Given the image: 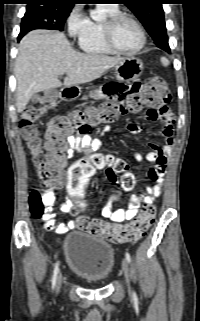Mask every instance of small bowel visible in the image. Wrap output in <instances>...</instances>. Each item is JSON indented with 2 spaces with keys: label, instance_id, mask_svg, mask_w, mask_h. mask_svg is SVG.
Instances as JSON below:
<instances>
[{
  "label": "small bowel",
  "instance_id": "1",
  "mask_svg": "<svg viewBox=\"0 0 200 321\" xmlns=\"http://www.w3.org/2000/svg\"><path fill=\"white\" fill-rule=\"evenodd\" d=\"M102 90L97 93L94 98L108 97L104 100L105 104H112L116 101H121V97L133 98L136 90H143V83H132L130 86L129 82H123L122 80H115L114 82L102 83ZM116 97V98H115ZM116 99V101H115ZM145 118L149 121L160 120L164 123L162 135L165 139L163 146L156 144H150L152 150L149 152L145 159L149 162H153L154 165L150 168L148 175L150 181L146 184V193L142 195L131 194L128 199L127 209H116L114 210L111 204H107L103 207L101 214L103 217L109 219L113 223H121L124 221H130L134 219L138 213L139 207L144 205H151L154 200L161 193V185L164 182V175L167 169V159L172 148V122L173 118L171 113L166 109H149ZM128 130L131 133L138 131V126L135 124H128ZM110 131L109 127H104L100 132L99 136L92 138L87 134L68 135L66 138V144L68 147L67 158L73 154L74 151H81L87 154H100L99 151L102 146V137H104ZM102 155V154H100ZM108 161H113L114 158L111 155H103ZM135 159L141 162L144 158L140 154L135 155ZM117 171L112 165H108L106 169L107 178L118 184L119 180L116 175ZM65 185V180L56 181L48 190L42 194V199L49 211L42 217L44 222V228L47 231H53L57 234H65L68 231L77 228V224L74 221L68 223H57L55 220V214L51 211V208L56 202V191L61 189ZM72 198H65L60 205V211L68 213L74 211Z\"/></svg>",
  "mask_w": 200,
  "mask_h": 321
}]
</instances>
